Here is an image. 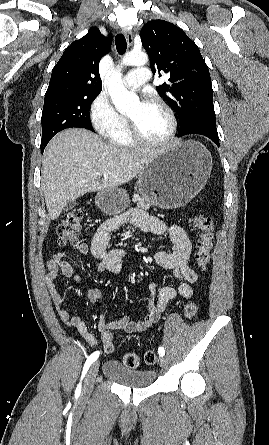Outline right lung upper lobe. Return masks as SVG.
Listing matches in <instances>:
<instances>
[{
  "label": "right lung upper lobe",
  "instance_id": "right-lung-upper-lobe-1",
  "mask_svg": "<svg viewBox=\"0 0 269 445\" xmlns=\"http://www.w3.org/2000/svg\"><path fill=\"white\" fill-rule=\"evenodd\" d=\"M112 41L97 27L68 46L51 74L46 94L100 93L99 62L109 52Z\"/></svg>",
  "mask_w": 269,
  "mask_h": 445
}]
</instances>
